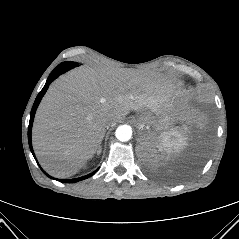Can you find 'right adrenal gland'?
I'll return each mask as SVG.
<instances>
[{
    "instance_id": "2a0ac1e0",
    "label": "right adrenal gland",
    "mask_w": 239,
    "mask_h": 239,
    "mask_svg": "<svg viewBox=\"0 0 239 239\" xmlns=\"http://www.w3.org/2000/svg\"><path fill=\"white\" fill-rule=\"evenodd\" d=\"M100 152H101V145H99V147H98L97 154H99Z\"/></svg>"
}]
</instances>
